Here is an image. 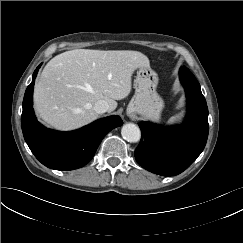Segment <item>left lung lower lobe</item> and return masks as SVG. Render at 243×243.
Instances as JSON below:
<instances>
[{
    "mask_svg": "<svg viewBox=\"0 0 243 243\" xmlns=\"http://www.w3.org/2000/svg\"><path fill=\"white\" fill-rule=\"evenodd\" d=\"M179 76L188 103L186 121L172 127L150 122L138 124L142 138L135 150L136 161L162 176H174L187 169L203 151L208 137V108L200 85L185 66L180 68Z\"/></svg>",
    "mask_w": 243,
    "mask_h": 243,
    "instance_id": "left-lung-lower-lobe-1",
    "label": "left lung lower lobe"
}]
</instances>
